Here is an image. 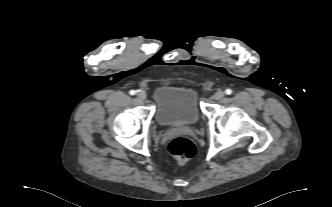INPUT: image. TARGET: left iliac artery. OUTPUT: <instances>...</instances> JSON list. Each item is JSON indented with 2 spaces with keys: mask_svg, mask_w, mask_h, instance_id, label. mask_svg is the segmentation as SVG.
<instances>
[{
  "mask_svg": "<svg viewBox=\"0 0 332 207\" xmlns=\"http://www.w3.org/2000/svg\"><path fill=\"white\" fill-rule=\"evenodd\" d=\"M225 93H226L227 95H230V94L232 93V90H231V89H226V90H225Z\"/></svg>",
  "mask_w": 332,
  "mask_h": 207,
  "instance_id": "left-iliac-artery-1",
  "label": "left iliac artery"
}]
</instances>
